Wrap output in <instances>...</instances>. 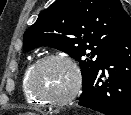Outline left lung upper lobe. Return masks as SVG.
Segmentation results:
<instances>
[{"label":"left lung upper lobe","instance_id":"1","mask_svg":"<svg viewBox=\"0 0 131 115\" xmlns=\"http://www.w3.org/2000/svg\"><path fill=\"white\" fill-rule=\"evenodd\" d=\"M130 29L120 0H56L26 30L23 49L50 46L69 54L80 63L83 89Z\"/></svg>","mask_w":131,"mask_h":115}]
</instances>
